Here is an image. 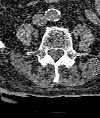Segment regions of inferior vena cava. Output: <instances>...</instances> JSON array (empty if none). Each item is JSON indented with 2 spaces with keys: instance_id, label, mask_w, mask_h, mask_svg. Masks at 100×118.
Listing matches in <instances>:
<instances>
[{
  "instance_id": "1",
  "label": "inferior vena cava",
  "mask_w": 100,
  "mask_h": 118,
  "mask_svg": "<svg viewBox=\"0 0 100 118\" xmlns=\"http://www.w3.org/2000/svg\"><path fill=\"white\" fill-rule=\"evenodd\" d=\"M47 17L45 15L42 14H35L33 16V23L37 26H44L47 24Z\"/></svg>"
}]
</instances>
